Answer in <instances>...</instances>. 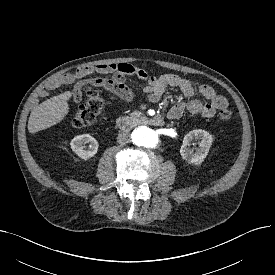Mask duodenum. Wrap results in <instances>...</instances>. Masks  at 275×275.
<instances>
[{
	"instance_id": "410a0bca",
	"label": "duodenum",
	"mask_w": 275,
	"mask_h": 275,
	"mask_svg": "<svg viewBox=\"0 0 275 275\" xmlns=\"http://www.w3.org/2000/svg\"><path fill=\"white\" fill-rule=\"evenodd\" d=\"M136 121H143L146 124H149L151 126H156V127L162 126L164 124V120L161 117H157V116L136 118V117L125 115V116H119L116 119V126L121 130H126Z\"/></svg>"
}]
</instances>
